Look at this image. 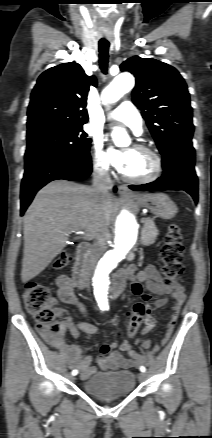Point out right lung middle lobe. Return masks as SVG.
I'll list each match as a JSON object with an SVG mask.
<instances>
[{"label":"right lung middle lobe","mask_w":212,"mask_h":438,"mask_svg":"<svg viewBox=\"0 0 212 438\" xmlns=\"http://www.w3.org/2000/svg\"><path fill=\"white\" fill-rule=\"evenodd\" d=\"M90 143L81 127L44 125L27 131V150L89 153Z\"/></svg>","instance_id":"1"}]
</instances>
